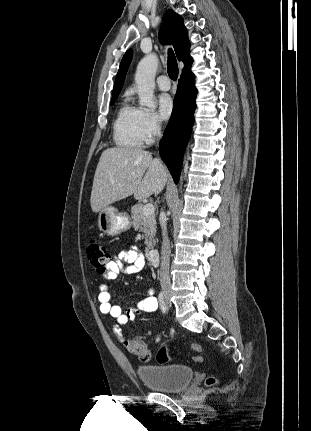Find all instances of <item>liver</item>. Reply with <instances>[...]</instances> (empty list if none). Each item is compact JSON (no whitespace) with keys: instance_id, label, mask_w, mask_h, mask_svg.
Masks as SVG:
<instances>
[{"instance_id":"6515ba94","label":"liver","mask_w":311,"mask_h":431,"mask_svg":"<svg viewBox=\"0 0 311 431\" xmlns=\"http://www.w3.org/2000/svg\"><path fill=\"white\" fill-rule=\"evenodd\" d=\"M168 170L151 152L142 148H107L96 168L90 206L101 212L114 202L134 196L146 200L158 196L166 186Z\"/></svg>"}]
</instances>
